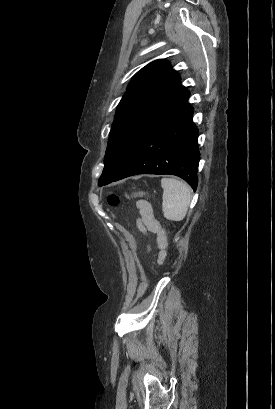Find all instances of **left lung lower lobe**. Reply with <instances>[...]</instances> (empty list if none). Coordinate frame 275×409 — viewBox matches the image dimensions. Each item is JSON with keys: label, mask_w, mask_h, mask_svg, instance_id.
Listing matches in <instances>:
<instances>
[{"label": "left lung lower lobe", "mask_w": 275, "mask_h": 409, "mask_svg": "<svg viewBox=\"0 0 275 409\" xmlns=\"http://www.w3.org/2000/svg\"><path fill=\"white\" fill-rule=\"evenodd\" d=\"M188 97L160 117L132 148L113 179L137 174H172L196 190L200 160L198 128ZM112 181V182H113Z\"/></svg>", "instance_id": "left-lung-lower-lobe-1"}]
</instances>
